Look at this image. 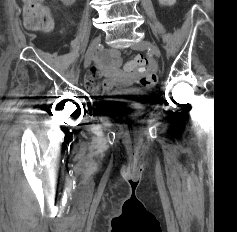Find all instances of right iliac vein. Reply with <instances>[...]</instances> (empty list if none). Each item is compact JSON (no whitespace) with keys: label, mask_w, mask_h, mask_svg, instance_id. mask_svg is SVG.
Segmentation results:
<instances>
[{"label":"right iliac vein","mask_w":237,"mask_h":232,"mask_svg":"<svg viewBox=\"0 0 237 232\" xmlns=\"http://www.w3.org/2000/svg\"><path fill=\"white\" fill-rule=\"evenodd\" d=\"M100 44H101L100 36H97L92 40V42L88 48L87 54L85 56V60H84V68L85 69L90 66V64L94 58V54H95L96 50L99 48Z\"/></svg>","instance_id":"1"}]
</instances>
